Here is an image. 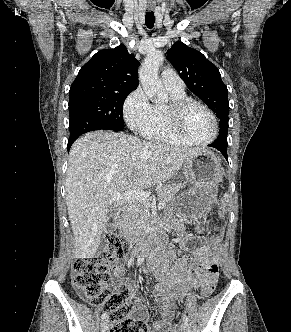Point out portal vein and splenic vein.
I'll use <instances>...</instances> for the list:
<instances>
[{
	"mask_svg": "<svg viewBox=\"0 0 291 332\" xmlns=\"http://www.w3.org/2000/svg\"><path fill=\"white\" fill-rule=\"evenodd\" d=\"M149 197L150 194L148 192H144L142 190H130V191H126V192H120V193H116L113 195L112 197V201L114 202H126L129 200H136L139 202H143L146 204H149ZM166 203L164 202H160L158 204L159 208H163L165 206Z\"/></svg>",
	"mask_w": 291,
	"mask_h": 332,
	"instance_id": "portal-vein-and-splenic-vein-1",
	"label": "portal vein and splenic vein"
}]
</instances>
